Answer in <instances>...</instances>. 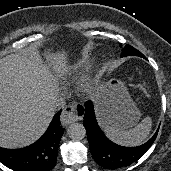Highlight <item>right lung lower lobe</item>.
<instances>
[{"mask_svg":"<svg viewBox=\"0 0 171 171\" xmlns=\"http://www.w3.org/2000/svg\"><path fill=\"white\" fill-rule=\"evenodd\" d=\"M60 113L55 114L47 131L34 144L14 150L0 147V162L15 171H50L54 168L64 133L60 126Z\"/></svg>","mask_w":171,"mask_h":171,"instance_id":"1","label":"right lung lower lobe"}]
</instances>
